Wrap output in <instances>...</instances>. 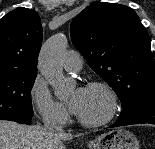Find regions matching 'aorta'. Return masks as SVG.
I'll list each match as a JSON object with an SVG mask.
<instances>
[{"instance_id": "obj_1", "label": "aorta", "mask_w": 155, "mask_h": 149, "mask_svg": "<svg viewBox=\"0 0 155 149\" xmlns=\"http://www.w3.org/2000/svg\"><path fill=\"white\" fill-rule=\"evenodd\" d=\"M67 46V37L63 33H58L46 41L39 55L40 72L58 97L66 96L72 87L71 81L63 75L62 68Z\"/></svg>"}]
</instances>
